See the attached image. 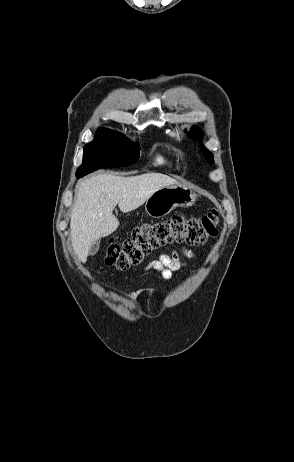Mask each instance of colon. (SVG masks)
Segmentation results:
<instances>
[{"instance_id": "colon-1", "label": "colon", "mask_w": 294, "mask_h": 462, "mask_svg": "<svg viewBox=\"0 0 294 462\" xmlns=\"http://www.w3.org/2000/svg\"><path fill=\"white\" fill-rule=\"evenodd\" d=\"M219 233V214L212 210L202 217L176 215L135 228L122 244L108 246L105 263L118 270L139 264L153 250L171 243L201 246Z\"/></svg>"}]
</instances>
